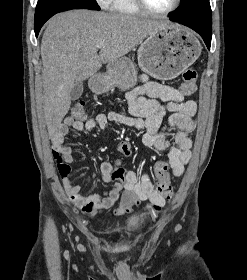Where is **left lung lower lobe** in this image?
<instances>
[{"instance_id": "1", "label": "left lung lower lobe", "mask_w": 247, "mask_h": 280, "mask_svg": "<svg viewBox=\"0 0 247 280\" xmlns=\"http://www.w3.org/2000/svg\"><path fill=\"white\" fill-rule=\"evenodd\" d=\"M170 20L173 22L183 24L196 31L203 38L208 49H210L211 38H212V23L208 24V23L197 22V21H184L175 18L174 16H171Z\"/></svg>"}]
</instances>
